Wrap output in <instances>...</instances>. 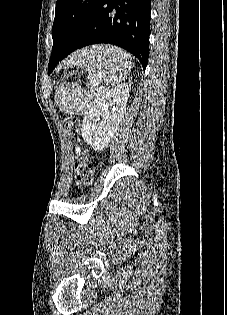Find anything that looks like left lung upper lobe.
I'll list each match as a JSON object with an SVG mask.
<instances>
[{
	"instance_id": "1",
	"label": "left lung upper lobe",
	"mask_w": 227,
	"mask_h": 315,
	"mask_svg": "<svg viewBox=\"0 0 227 315\" xmlns=\"http://www.w3.org/2000/svg\"><path fill=\"white\" fill-rule=\"evenodd\" d=\"M102 0H57L52 27L53 48L62 51L90 21Z\"/></svg>"
}]
</instances>
